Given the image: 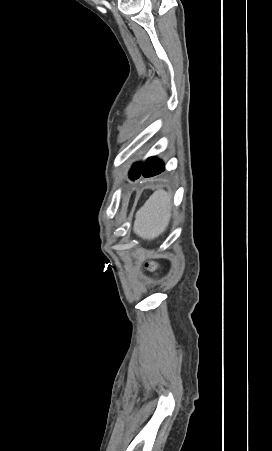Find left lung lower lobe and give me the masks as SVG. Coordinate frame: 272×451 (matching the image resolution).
Masks as SVG:
<instances>
[{
	"label": "left lung lower lobe",
	"instance_id": "obj_1",
	"mask_svg": "<svg viewBox=\"0 0 272 451\" xmlns=\"http://www.w3.org/2000/svg\"><path fill=\"white\" fill-rule=\"evenodd\" d=\"M162 171H164L163 162L155 157H151L145 161L141 173L137 177L130 179H138L141 175L144 177H152L160 174Z\"/></svg>",
	"mask_w": 272,
	"mask_h": 451
}]
</instances>
